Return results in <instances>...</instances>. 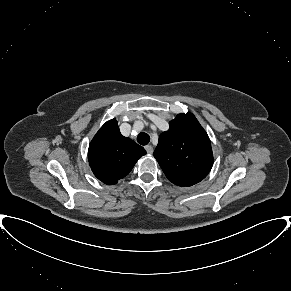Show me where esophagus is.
Masks as SVG:
<instances>
[{"mask_svg": "<svg viewBox=\"0 0 291 291\" xmlns=\"http://www.w3.org/2000/svg\"><path fill=\"white\" fill-rule=\"evenodd\" d=\"M145 149H146L148 154H152L153 153V147L151 145L145 146Z\"/></svg>", "mask_w": 291, "mask_h": 291, "instance_id": "1", "label": "esophagus"}]
</instances>
